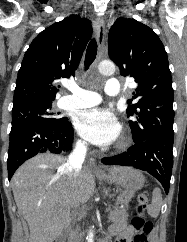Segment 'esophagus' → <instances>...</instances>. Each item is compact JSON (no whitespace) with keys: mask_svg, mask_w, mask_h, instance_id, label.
Instances as JSON below:
<instances>
[{"mask_svg":"<svg viewBox=\"0 0 187 242\" xmlns=\"http://www.w3.org/2000/svg\"><path fill=\"white\" fill-rule=\"evenodd\" d=\"M96 33H97V43L99 51L102 52L104 48V40H105V23L102 17L96 18L95 23ZM89 165L95 172H101V168L96 164L94 158L89 159Z\"/></svg>","mask_w":187,"mask_h":242,"instance_id":"obj_1","label":"esophagus"}]
</instances>
